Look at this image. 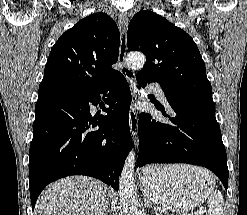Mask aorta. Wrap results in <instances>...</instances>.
I'll list each match as a JSON object with an SVG mask.
<instances>
[{
  "mask_svg": "<svg viewBox=\"0 0 247 215\" xmlns=\"http://www.w3.org/2000/svg\"><path fill=\"white\" fill-rule=\"evenodd\" d=\"M127 64L132 69H141L146 61V58L141 53H130L127 56ZM136 158L135 152L132 150L126 157L120 178H119V194L120 202L124 215H140L137 200L135 196L134 184V168Z\"/></svg>",
  "mask_w": 247,
  "mask_h": 215,
  "instance_id": "762f6f07",
  "label": "aorta"
}]
</instances>
